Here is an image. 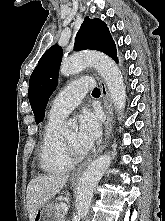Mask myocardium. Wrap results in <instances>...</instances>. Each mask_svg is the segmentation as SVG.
<instances>
[{
	"label": "myocardium",
	"mask_w": 165,
	"mask_h": 221,
	"mask_svg": "<svg viewBox=\"0 0 165 221\" xmlns=\"http://www.w3.org/2000/svg\"><path fill=\"white\" fill-rule=\"evenodd\" d=\"M62 146L66 155L75 163L83 160L87 156V151L79 152L77 151L65 138L64 135L61 136Z\"/></svg>",
	"instance_id": "f54148a6"
}]
</instances>
